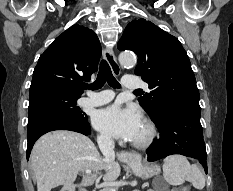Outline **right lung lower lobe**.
<instances>
[{
    "mask_svg": "<svg viewBox=\"0 0 233 191\" xmlns=\"http://www.w3.org/2000/svg\"><path fill=\"white\" fill-rule=\"evenodd\" d=\"M53 130H71L90 134V125L86 120L74 118L54 111H39L28 119L27 125V159L36 140L43 134Z\"/></svg>",
    "mask_w": 233,
    "mask_h": 191,
    "instance_id": "98d812e1",
    "label": "right lung lower lobe"
}]
</instances>
